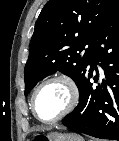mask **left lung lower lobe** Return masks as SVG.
<instances>
[{
	"mask_svg": "<svg viewBox=\"0 0 119 141\" xmlns=\"http://www.w3.org/2000/svg\"><path fill=\"white\" fill-rule=\"evenodd\" d=\"M97 64L104 79L93 87L89 80L96 70L94 81H98ZM89 66L79 87V104L62 123L96 138L119 141V9L98 34Z\"/></svg>",
	"mask_w": 119,
	"mask_h": 141,
	"instance_id": "obj_1",
	"label": "left lung lower lobe"
}]
</instances>
